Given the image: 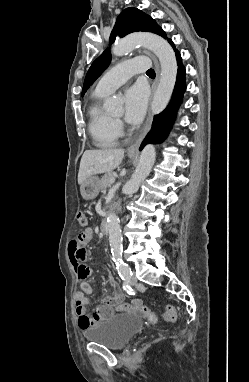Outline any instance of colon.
<instances>
[{"label":"colon","mask_w":249,"mask_h":382,"mask_svg":"<svg viewBox=\"0 0 249 382\" xmlns=\"http://www.w3.org/2000/svg\"><path fill=\"white\" fill-rule=\"evenodd\" d=\"M77 219L79 222V225L81 227V232L79 234V240L83 241V235L86 231V227L88 225V217L86 213L79 212L77 215ZM76 273L80 279H85L89 282H95L97 280V277L94 274L93 270H89V268L86 266L85 262H81L79 266H75ZM90 274V275H89ZM103 305L106 306H115L119 310L123 309H132L136 311L137 313L141 314L146 321L149 323H155L157 321V316L153 311H151L149 308H147L144 305L141 304H126L122 303V296L120 294L115 293L114 296H106L102 300ZM164 319L168 322H175L177 319L176 311L173 306L169 305L166 308V311L163 315Z\"/></svg>","instance_id":"obj_1"}]
</instances>
